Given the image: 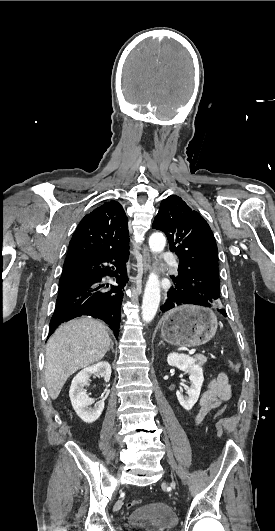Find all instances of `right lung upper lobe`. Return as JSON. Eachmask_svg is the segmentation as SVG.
<instances>
[{
  "label": "right lung upper lobe",
  "mask_w": 275,
  "mask_h": 531,
  "mask_svg": "<svg viewBox=\"0 0 275 531\" xmlns=\"http://www.w3.org/2000/svg\"><path fill=\"white\" fill-rule=\"evenodd\" d=\"M129 245L128 218L116 201L87 214L73 234L66 259L105 253Z\"/></svg>",
  "instance_id": "1"
}]
</instances>
